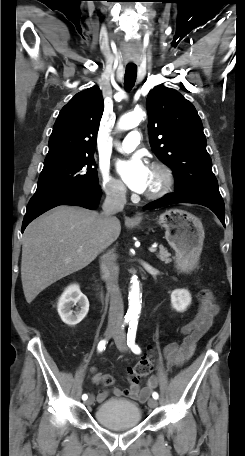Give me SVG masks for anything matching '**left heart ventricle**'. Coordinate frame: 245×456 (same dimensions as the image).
<instances>
[{"label":"left heart ventricle","instance_id":"b2bd125f","mask_svg":"<svg viewBox=\"0 0 245 456\" xmlns=\"http://www.w3.org/2000/svg\"><path fill=\"white\" fill-rule=\"evenodd\" d=\"M162 177L156 170L149 169L147 188L145 191L155 190L160 186Z\"/></svg>","mask_w":245,"mask_h":456}]
</instances>
